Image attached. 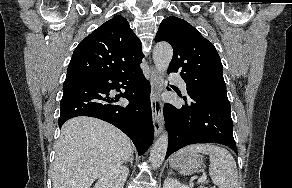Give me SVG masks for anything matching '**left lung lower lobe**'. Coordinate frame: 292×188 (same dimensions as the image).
<instances>
[{
    "label": "left lung lower lobe",
    "mask_w": 292,
    "mask_h": 188,
    "mask_svg": "<svg viewBox=\"0 0 292 188\" xmlns=\"http://www.w3.org/2000/svg\"><path fill=\"white\" fill-rule=\"evenodd\" d=\"M188 95L187 99L183 98L185 105L180 109L171 104L164 105L169 134L166 158L194 143H219L237 153L229 100L191 93Z\"/></svg>",
    "instance_id": "obj_1"
}]
</instances>
